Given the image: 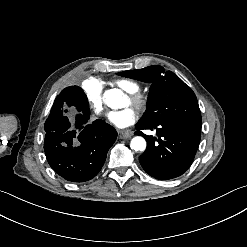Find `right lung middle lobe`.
I'll list each match as a JSON object with an SVG mask.
<instances>
[{"label": "right lung middle lobe", "mask_w": 247, "mask_h": 247, "mask_svg": "<svg viewBox=\"0 0 247 247\" xmlns=\"http://www.w3.org/2000/svg\"><path fill=\"white\" fill-rule=\"evenodd\" d=\"M71 90L74 91V93L78 96L80 101H82L83 104L88 105V100L86 95L84 94L83 90L78 86H71Z\"/></svg>", "instance_id": "1"}]
</instances>
